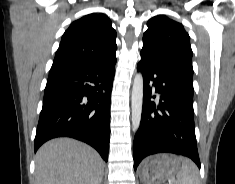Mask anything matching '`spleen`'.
Returning <instances> with one entry per match:
<instances>
[{
	"label": "spleen",
	"mask_w": 235,
	"mask_h": 184,
	"mask_svg": "<svg viewBox=\"0 0 235 184\" xmlns=\"http://www.w3.org/2000/svg\"><path fill=\"white\" fill-rule=\"evenodd\" d=\"M181 168L177 172V180L173 184H200L199 172L196 164L189 158L180 156Z\"/></svg>",
	"instance_id": "obj_1"
}]
</instances>
